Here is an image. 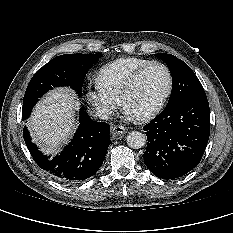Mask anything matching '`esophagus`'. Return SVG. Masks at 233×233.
I'll list each match as a JSON object with an SVG mask.
<instances>
[{
  "label": "esophagus",
  "mask_w": 233,
  "mask_h": 233,
  "mask_svg": "<svg viewBox=\"0 0 233 233\" xmlns=\"http://www.w3.org/2000/svg\"><path fill=\"white\" fill-rule=\"evenodd\" d=\"M111 131L114 135L120 136L126 133L127 129L124 126H111Z\"/></svg>",
  "instance_id": "obj_1"
}]
</instances>
